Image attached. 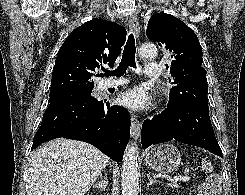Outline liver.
Returning a JSON list of instances; mask_svg holds the SVG:
<instances>
[{"instance_id": "obj_1", "label": "liver", "mask_w": 245, "mask_h": 195, "mask_svg": "<svg viewBox=\"0 0 245 195\" xmlns=\"http://www.w3.org/2000/svg\"><path fill=\"white\" fill-rule=\"evenodd\" d=\"M108 158L94 146L58 138L30 155L27 195H84Z\"/></svg>"}]
</instances>
